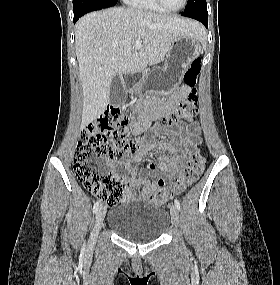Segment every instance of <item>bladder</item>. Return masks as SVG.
Listing matches in <instances>:
<instances>
[{"instance_id": "obj_1", "label": "bladder", "mask_w": 280, "mask_h": 285, "mask_svg": "<svg viewBox=\"0 0 280 285\" xmlns=\"http://www.w3.org/2000/svg\"><path fill=\"white\" fill-rule=\"evenodd\" d=\"M170 223L168 212L145 200H127L115 206L107 217L108 226L120 237L147 242L161 237Z\"/></svg>"}]
</instances>
